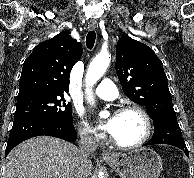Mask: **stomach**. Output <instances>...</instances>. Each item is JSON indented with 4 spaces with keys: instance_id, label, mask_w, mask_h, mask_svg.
Masks as SVG:
<instances>
[{
    "instance_id": "stomach-1",
    "label": "stomach",
    "mask_w": 194,
    "mask_h": 178,
    "mask_svg": "<svg viewBox=\"0 0 194 178\" xmlns=\"http://www.w3.org/2000/svg\"><path fill=\"white\" fill-rule=\"evenodd\" d=\"M121 178H159L162 171L160 156L150 148H141L128 153H117L105 159Z\"/></svg>"
}]
</instances>
